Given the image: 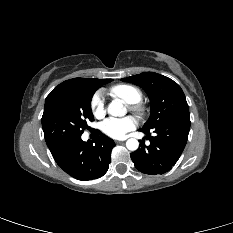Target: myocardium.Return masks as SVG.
Wrapping results in <instances>:
<instances>
[{
  "label": "myocardium",
  "instance_id": "obj_1",
  "mask_svg": "<svg viewBox=\"0 0 233 233\" xmlns=\"http://www.w3.org/2000/svg\"><path fill=\"white\" fill-rule=\"evenodd\" d=\"M130 109L138 116L143 117L147 114L148 112V107L141 103V102H137L134 104H130Z\"/></svg>",
  "mask_w": 233,
  "mask_h": 233
}]
</instances>
